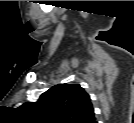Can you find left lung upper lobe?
<instances>
[{
	"label": "left lung upper lobe",
	"instance_id": "1",
	"mask_svg": "<svg viewBox=\"0 0 134 123\" xmlns=\"http://www.w3.org/2000/svg\"><path fill=\"white\" fill-rule=\"evenodd\" d=\"M27 112L59 123H94V109L88 93L79 84H58L38 101L23 105Z\"/></svg>",
	"mask_w": 134,
	"mask_h": 123
}]
</instances>
